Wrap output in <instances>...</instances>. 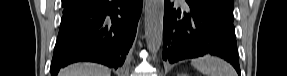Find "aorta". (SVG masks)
I'll list each match as a JSON object with an SVG mask.
<instances>
[{
	"mask_svg": "<svg viewBox=\"0 0 287 76\" xmlns=\"http://www.w3.org/2000/svg\"><path fill=\"white\" fill-rule=\"evenodd\" d=\"M164 0H146L145 38L149 51L156 54L163 39Z\"/></svg>",
	"mask_w": 287,
	"mask_h": 76,
	"instance_id": "762f6f07",
	"label": "aorta"
}]
</instances>
